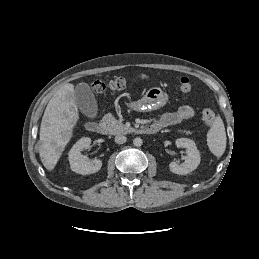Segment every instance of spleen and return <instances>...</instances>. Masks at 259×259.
Masks as SVG:
<instances>
[{
	"instance_id": "obj_1",
	"label": "spleen",
	"mask_w": 259,
	"mask_h": 259,
	"mask_svg": "<svg viewBox=\"0 0 259 259\" xmlns=\"http://www.w3.org/2000/svg\"><path fill=\"white\" fill-rule=\"evenodd\" d=\"M207 145L210 151L217 157H221L226 148V132L220 116L213 121L207 133Z\"/></svg>"
}]
</instances>
